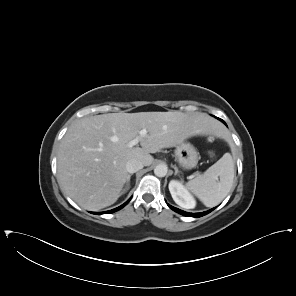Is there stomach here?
<instances>
[{
	"instance_id": "0dacf381",
	"label": "stomach",
	"mask_w": 296,
	"mask_h": 296,
	"mask_svg": "<svg viewBox=\"0 0 296 296\" xmlns=\"http://www.w3.org/2000/svg\"><path fill=\"white\" fill-rule=\"evenodd\" d=\"M175 160L182 169L189 170L196 167L199 156L196 148L189 142H182L176 147Z\"/></svg>"
}]
</instances>
